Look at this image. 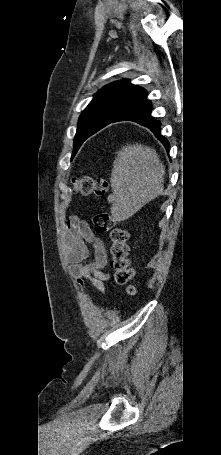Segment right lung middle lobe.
Segmentation results:
<instances>
[{
	"mask_svg": "<svg viewBox=\"0 0 221 455\" xmlns=\"http://www.w3.org/2000/svg\"><path fill=\"white\" fill-rule=\"evenodd\" d=\"M125 111L112 105H89L80 115L78 129L74 138V150L72 158L75 156L81 144L91 135L115 121Z\"/></svg>",
	"mask_w": 221,
	"mask_h": 455,
	"instance_id": "1",
	"label": "right lung middle lobe"
}]
</instances>
